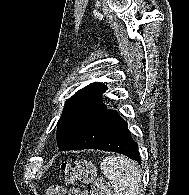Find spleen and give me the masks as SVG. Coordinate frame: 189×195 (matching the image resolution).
Masks as SVG:
<instances>
[{
  "label": "spleen",
  "instance_id": "obj_1",
  "mask_svg": "<svg viewBox=\"0 0 189 195\" xmlns=\"http://www.w3.org/2000/svg\"><path fill=\"white\" fill-rule=\"evenodd\" d=\"M100 168L114 195H139L141 173L134 161L125 156H109L103 159Z\"/></svg>",
  "mask_w": 189,
  "mask_h": 195
}]
</instances>
